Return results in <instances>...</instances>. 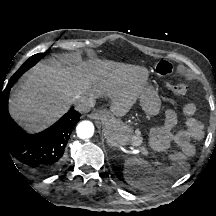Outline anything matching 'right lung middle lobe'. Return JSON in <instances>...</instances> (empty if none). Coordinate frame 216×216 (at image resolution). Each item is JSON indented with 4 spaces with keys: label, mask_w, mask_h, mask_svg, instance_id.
Wrapping results in <instances>:
<instances>
[{
    "label": "right lung middle lobe",
    "mask_w": 216,
    "mask_h": 216,
    "mask_svg": "<svg viewBox=\"0 0 216 216\" xmlns=\"http://www.w3.org/2000/svg\"><path fill=\"white\" fill-rule=\"evenodd\" d=\"M45 53H39L31 56L20 68L19 70L11 77L15 82L17 78H19L24 72H26L29 68L35 65Z\"/></svg>",
    "instance_id": "dd1d6c3e"
}]
</instances>
